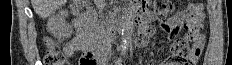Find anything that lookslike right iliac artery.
Masks as SVG:
<instances>
[{
    "label": "right iliac artery",
    "instance_id": "82829eb1",
    "mask_svg": "<svg viewBox=\"0 0 232 65\" xmlns=\"http://www.w3.org/2000/svg\"><path fill=\"white\" fill-rule=\"evenodd\" d=\"M121 60H118L117 65H120Z\"/></svg>",
    "mask_w": 232,
    "mask_h": 65
}]
</instances>
